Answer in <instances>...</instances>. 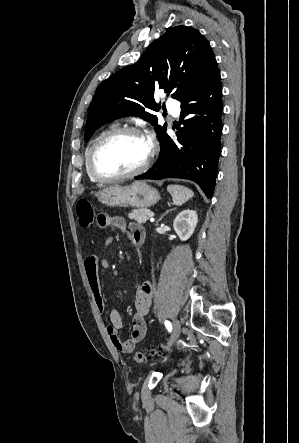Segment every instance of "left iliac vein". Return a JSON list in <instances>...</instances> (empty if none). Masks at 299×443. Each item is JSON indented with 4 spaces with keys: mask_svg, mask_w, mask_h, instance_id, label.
<instances>
[{
    "mask_svg": "<svg viewBox=\"0 0 299 443\" xmlns=\"http://www.w3.org/2000/svg\"><path fill=\"white\" fill-rule=\"evenodd\" d=\"M181 329H182V327H181L180 322H179L177 319H175V320L173 321V333H172L171 340H170V344H169L170 346H171L173 343H175L176 340L178 339V337H179V335H180V333H181Z\"/></svg>",
    "mask_w": 299,
    "mask_h": 443,
    "instance_id": "1",
    "label": "left iliac vein"
}]
</instances>
